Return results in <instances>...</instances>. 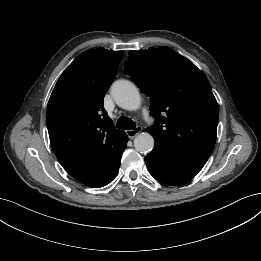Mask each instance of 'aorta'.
<instances>
[{
    "label": "aorta",
    "mask_w": 261,
    "mask_h": 261,
    "mask_svg": "<svg viewBox=\"0 0 261 261\" xmlns=\"http://www.w3.org/2000/svg\"><path fill=\"white\" fill-rule=\"evenodd\" d=\"M111 94L116 104L125 110L134 111L141 105L138 88L128 80L114 82L111 87ZM134 147L140 153H148L154 147V138L151 134L142 132L135 137Z\"/></svg>",
    "instance_id": "aorta-1"
}]
</instances>
